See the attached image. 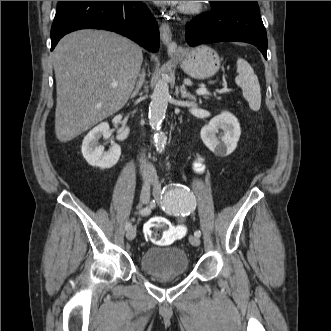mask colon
<instances>
[{"label":"colon","instance_id":"colon-1","mask_svg":"<svg viewBox=\"0 0 331 331\" xmlns=\"http://www.w3.org/2000/svg\"><path fill=\"white\" fill-rule=\"evenodd\" d=\"M145 236L152 243L165 246L185 236L186 229L173 225L166 218L154 217L145 225Z\"/></svg>","mask_w":331,"mask_h":331}]
</instances>
